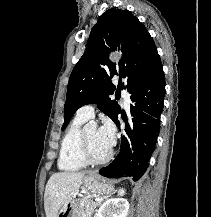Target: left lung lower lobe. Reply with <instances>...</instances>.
Returning <instances> with one entry per match:
<instances>
[{
	"mask_svg": "<svg viewBox=\"0 0 211 217\" xmlns=\"http://www.w3.org/2000/svg\"><path fill=\"white\" fill-rule=\"evenodd\" d=\"M132 122L121 135V148L116 159L99 174L108 178L131 177L139 180L145 173L155 149L160 114L165 96L162 64L140 80L129 92ZM115 124L120 128L119 121Z\"/></svg>",
	"mask_w": 211,
	"mask_h": 217,
	"instance_id": "1",
	"label": "left lung lower lobe"
}]
</instances>
